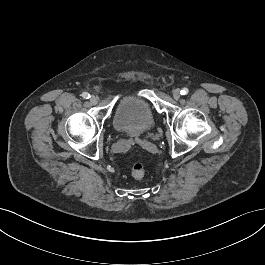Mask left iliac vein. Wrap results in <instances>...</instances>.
Segmentation results:
<instances>
[{
    "mask_svg": "<svg viewBox=\"0 0 265 265\" xmlns=\"http://www.w3.org/2000/svg\"><path fill=\"white\" fill-rule=\"evenodd\" d=\"M172 95H173V98L178 100L181 96V92L179 89H174L173 92H172Z\"/></svg>",
    "mask_w": 265,
    "mask_h": 265,
    "instance_id": "1",
    "label": "left iliac vein"
}]
</instances>
